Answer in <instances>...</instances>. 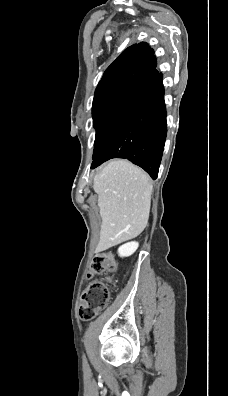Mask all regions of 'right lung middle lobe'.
Listing matches in <instances>:
<instances>
[{
	"mask_svg": "<svg viewBox=\"0 0 228 396\" xmlns=\"http://www.w3.org/2000/svg\"><path fill=\"white\" fill-rule=\"evenodd\" d=\"M146 74L145 70L135 71L97 86L92 107L93 125L96 129L93 161L106 135L131 101Z\"/></svg>",
	"mask_w": 228,
	"mask_h": 396,
	"instance_id": "1",
	"label": "right lung middle lobe"
}]
</instances>
